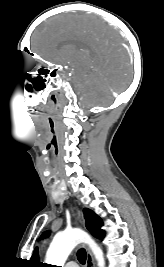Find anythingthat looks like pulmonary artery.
<instances>
[{"instance_id":"pulmonary-artery-1","label":"pulmonary artery","mask_w":164,"mask_h":267,"mask_svg":"<svg viewBox=\"0 0 164 267\" xmlns=\"http://www.w3.org/2000/svg\"><path fill=\"white\" fill-rule=\"evenodd\" d=\"M65 267H78V265L75 262H68L65 264Z\"/></svg>"}]
</instances>
